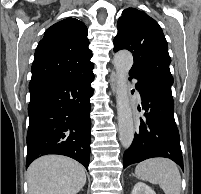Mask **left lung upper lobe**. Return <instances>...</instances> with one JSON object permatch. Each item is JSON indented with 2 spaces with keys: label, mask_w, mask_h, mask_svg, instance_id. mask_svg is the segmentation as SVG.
Listing matches in <instances>:
<instances>
[{
  "label": "left lung upper lobe",
  "mask_w": 201,
  "mask_h": 194,
  "mask_svg": "<svg viewBox=\"0 0 201 194\" xmlns=\"http://www.w3.org/2000/svg\"><path fill=\"white\" fill-rule=\"evenodd\" d=\"M117 29L114 51L127 49L133 53L134 64L129 74L172 85L173 77L169 69L171 58L159 24L145 12L128 8L122 12Z\"/></svg>",
  "instance_id": "left-lung-upper-lobe-1"
}]
</instances>
